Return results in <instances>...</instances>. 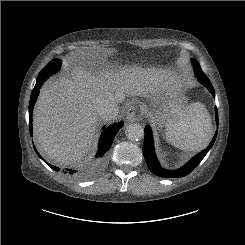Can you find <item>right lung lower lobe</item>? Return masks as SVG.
<instances>
[{
  "mask_svg": "<svg viewBox=\"0 0 245 245\" xmlns=\"http://www.w3.org/2000/svg\"><path fill=\"white\" fill-rule=\"evenodd\" d=\"M47 79V77L45 75L43 76H38L37 78V82L36 85L32 91L31 94V100L29 103V127H30V135L32 136V112H33V107L34 104L37 100V97L39 95V88L41 87L42 83ZM123 126V122H119L113 125H110L109 127H107L106 129H104V131L102 132L101 136H100V140H99V148H98V152L94 158V160L92 162H90L89 164H87L86 166H84L82 169L80 170H68L69 174H74L75 177H79V178H85L88 177L92 174H94L95 172H97L100 167L102 166L106 153L107 151L110 149L111 144L113 142V139L115 137V135L117 134V132L122 128ZM35 149V147H34ZM36 153L38 154V156L41 158V156L39 155V153L37 152V150L35 149ZM53 170L55 171H59V168L56 166H53L49 163H47Z\"/></svg>",
  "mask_w": 245,
  "mask_h": 245,
  "instance_id": "obj_1",
  "label": "right lung lower lobe"
}]
</instances>
